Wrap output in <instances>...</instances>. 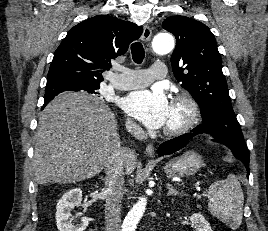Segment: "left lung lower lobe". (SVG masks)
<instances>
[{
    "label": "left lung lower lobe",
    "instance_id": "1",
    "mask_svg": "<svg viewBox=\"0 0 268 231\" xmlns=\"http://www.w3.org/2000/svg\"><path fill=\"white\" fill-rule=\"evenodd\" d=\"M197 134L198 133L196 132L187 133V134L181 135L179 137H176L174 139H171L169 141L162 143L158 148V154L161 156V155H169V154L176 152L177 150L185 147L187 142ZM220 143H223L228 148H230L232 153L235 155V157L239 159L240 161H242V163L245 165L247 169V172H248L247 176H249V152L248 150L243 149L240 146H237L236 144H233V143H226V142H220Z\"/></svg>",
    "mask_w": 268,
    "mask_h": 231
}]
</instances>
